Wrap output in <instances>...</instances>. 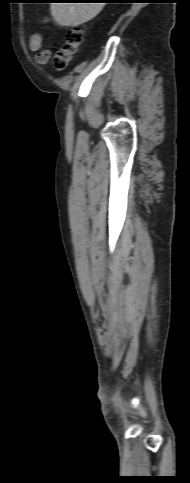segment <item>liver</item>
I'll return each instance as SVG.
<instances>
[{
    "instance_id": "6515ba94",
    "label": "liver",
    "mask_w": 190,
    "mask_h": 483,
    "mask_svg": "<svg viewBox=\"0 0 190 483\" xmlns=\"http://www.w3.org/2000/svg\"><path fill=\"white\" fill-rule=\"evenodd\" d=\"M104 3H51V14L61 26L77 27L93 19Z\"/></svg>"
}]
</instances>
